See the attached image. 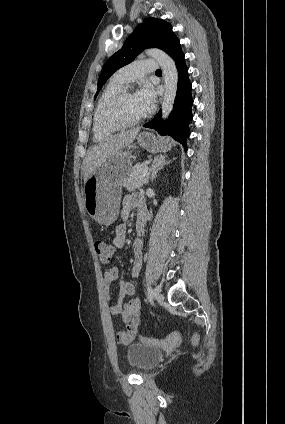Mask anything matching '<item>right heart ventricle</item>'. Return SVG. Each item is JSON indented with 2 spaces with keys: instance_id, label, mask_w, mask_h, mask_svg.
Returning <instances> with one entry per match:
<instances>
[{
  "instance_id": "e07e8e85",
  "label": "right heart ventricle",
  "mask_w": 285,
  "mask_h": 424,
  "mask_svg": "<svg viewBox=\"0 0 285 424\" xmlns=\"http://www.w3.org/2000/svg\"><path fill=\"white\" fill-rule=\"evenodd\" d=\"M122 89H124V84L112 78L101 93L93 114V135L96 141L102 140L118 130L104 127L101 124L100 117L105 104Z\"/></svg>"
}]
</instances>
